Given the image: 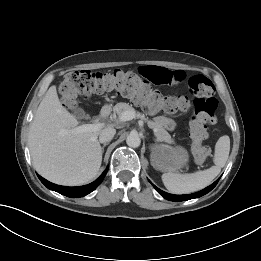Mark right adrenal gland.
Returning <instances> with one entry per match:
<instances>
[{
  "mask_svg": "<svg viewBox=\"0 0 261 261\" xmlns=\"http://www.w3.org/2000/svg\"><path fill=\"white\" fill-rule=\"evenodd\" d=\"M108 145V143H104L102 146V153L104 152V148Z\"/></svg>",
  "mask_w": 261,
  "mask_h": 261,
  "instance_id": "1",
  "label": "right adrenal gland"
}]
</instances>
